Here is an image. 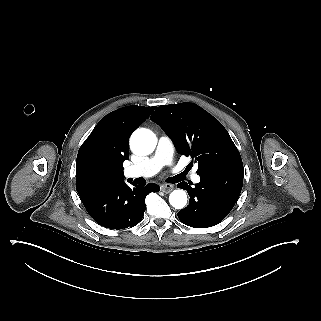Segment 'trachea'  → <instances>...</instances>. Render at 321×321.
<instances>
[{"mask_svg":"<svg viewBox=\"0 0 321 321\" xmlns=\"http://www.w3.org/2000/svg\"><path fill=\"white\" fill-rule=\"evenodd\" d=\"M189 169H185L182 173H180L179 175H176L174 177H171V178H168L166 181L168 183H177V182H180L182 180L185 179L187 173H188Z\"/></svg>","mask_w":321,"mask_h":321,"instance_id":"3493384b","label":"trachea"}]
</instances>
